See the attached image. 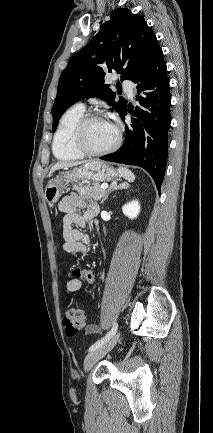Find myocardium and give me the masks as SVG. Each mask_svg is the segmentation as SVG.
Returning a JSON list of instances; mask_svg holds the SVG:
<instances>
[{"mask_svg": "<svg viewBox=\"0 0 213 433\" xmlns=\"http://www.w3.org/2000/svg\"><path fill=\"white\" fill-rule=\"evenodd\" d=\"M93 120H107V118L103 114L98 112H90V113L83 114V116L79 119V121L77 122L73 130L72 141L75 149L78 152H80L83 156H89V157L104 156L116 151L121 145L122 133L120 129L114 124L113 125L116 129L117 137L112 146H110L105 150L95 151L90 149L86 145L85 130L87 125Z\"/></svg>", "mask_w": 213, "mask_h": 433, "instance_id": "myocardium-1", "label": "myocardium"}]
</instances>
